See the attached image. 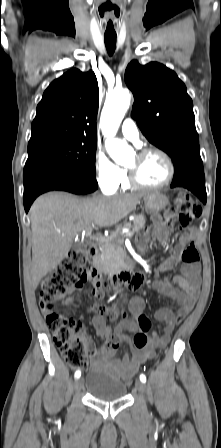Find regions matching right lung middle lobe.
I'll return each instance as SVG.
<instances>
[{"mask_svg":"<svg viewBox=\"0 0 221 448\" xmlns=\"http://www.w3.org/2000/svg\"><path fill=\"white\" fill-rule=\"evenodd\" d=\"M97 139L60 140L28 148L25 166L49 164L95 178Z\"/></svg>","mask_w":221,"mask_h":448,"instance_id":"dd1d6c3e","label":"right lung middle lobe"}]
</instances>
